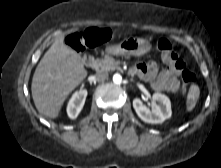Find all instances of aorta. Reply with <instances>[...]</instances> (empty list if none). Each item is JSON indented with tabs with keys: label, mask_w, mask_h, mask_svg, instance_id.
<instances>
[{
	"label": "aorta",
	"mask_w": 221,
	"mask_h": 168,
	"mask_svg": "<svg viewBox=\"0 0 221 168\" xmlns=\"http://www.w3.org/2000/svg\"><path fill=\"white\" fill-rule=\"evenodd\" d=\"M113 82L115 84H120L122 82V76L120 74H115L113 76Z\"/></svg>",
	"instance_id": "obj_1"
}]
</instances>
